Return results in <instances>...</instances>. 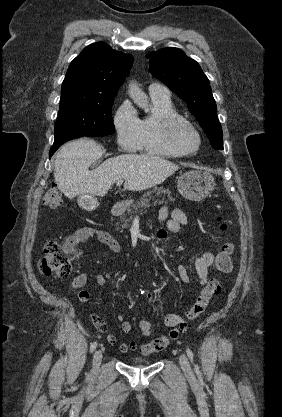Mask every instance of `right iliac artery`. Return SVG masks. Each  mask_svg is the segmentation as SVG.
Masks as SVG:
<instances>
[{
  "mask_svg": "<svg viewBox=\"0 0 282 417\" xmlns=\"http://www.w3.org/2000/svg\"><path fill=\"white\" fill-rule=\"evenodd\" d=\"M96 347H97V342L95 341V342H93V343L91 344V346H90V352H91V353H93V352H94V350L96 349Z\"/></svg>",
  "mask_w": 282,
  "mask_h": 417,
  "instance_id": "82829eb1",
  "label": "right iliac artery"
}]
</instances>
